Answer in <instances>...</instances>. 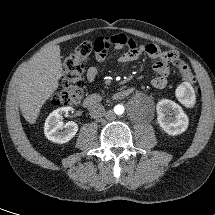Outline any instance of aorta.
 I'll list each match as a JSON object with an SVG mask.
<instances>
[{
  "label": "aorta",
  "mask_w": 215,
  "mask_h": 215,
  "mask_svg": "<svg viewBox=\"0 0 215 215\" xmlns=\"http://www.w3.org/2000/svg\"><path fill=\"white\" fill-rule=\"evenodd\" d=\"M114 112L115 114L117 115H122L124 113V107L122 105H117L115 108H114Z\"/></svg>",
  "instance_id": "aorta-1"
}]
</instances>
